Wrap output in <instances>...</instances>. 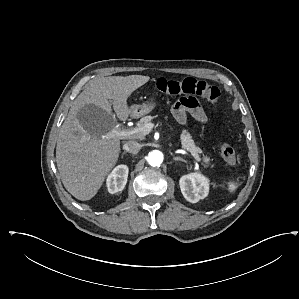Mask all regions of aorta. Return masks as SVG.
Returning <instances> with one entry per match:
<instances>
[{"mask_svg": "<svg viewBox=\"0 0 299 299\" xmlns=\"http://www.w3.org/2000/svg\"><path fill=\"white\" fill-rule=\"evenodd\" d=\"M148 163L153 166H160L163 162V154L159 150H153L149 152L148 157H147Z\"/></svg>", "mask_w": 299, "mask_h": 299, "instance_id": "1", "label": "aorta"}]
</instances>
